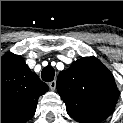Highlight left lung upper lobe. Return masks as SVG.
Returning a JSON list of instances; mask_svg holds the SVG:
<instances>
[{"label": "left lung upper lobe", "mask_w": 123, "mask_h": 123, "mask_svg": "<svg viewBox=\"0 0 123 123\" xmlns=\"http://www.w3.org/2000/svg\"><path fill=\"white\" fill-rule=\"evenodd\" d=\"M57 90L75 120L101 122L114 110L119 90L111 72L94 56L83 57L61 71Z\"/></svg>", "instance_id": "obj_1"}]
</instances>
